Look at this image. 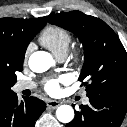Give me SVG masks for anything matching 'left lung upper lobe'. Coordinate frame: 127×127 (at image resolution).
<instances>
[{
	"label": "left lung upper lobe",
	"instance_id": "5c2ea615",
	"mask_svg": "<svg viewBox=\"0 0 127 127\" xmlns=\"http://www.w3.org/2000/svg\"><path fill=\"white\" fill-rule=\"evenodd\" d=\"M49 22L81 40L85 62L79 80L86 86L87 96L100 93L127 96V53L105 22L80 11L52 15Z\"/></svg>",
	"mask_w": 127,
	"mask_h": 127
}]
</instances>
